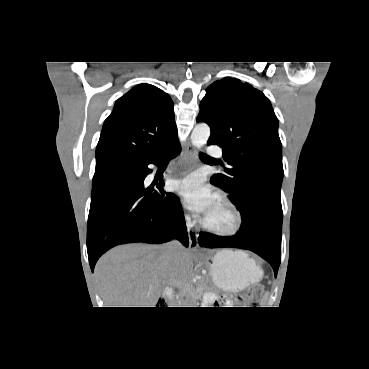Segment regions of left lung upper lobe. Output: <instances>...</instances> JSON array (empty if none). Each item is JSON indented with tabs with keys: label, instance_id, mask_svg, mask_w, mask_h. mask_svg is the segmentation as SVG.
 <instances>
[{
	"label": "left lung upper lobe",
	"instance_id": "1",
	"mask_svg": "<svg viewBox=\"0 0 369 369\" xmlns=\"http://www.w3.org/2000/svg\"><path fill=\"white\" fill-rule=\"evenodd\" d=\"M196 121L210 126L208 145L223 148V159L231 167L211 181L230 194L242 223L250 224L264 205L282 210V146L268 98L247 83L225 77L206 90Z\"/></svg>",
	"mask_w": 369,
	"mask_h": 369
}]
</instances>
